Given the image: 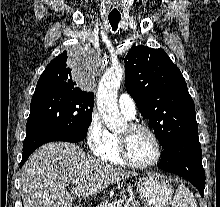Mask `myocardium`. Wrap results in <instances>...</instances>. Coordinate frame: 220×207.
<instances>
[{"label": "myocardium", "mask_w": 220, "mask_h": 207, "mask_svg": "<svg viewBox=\"0 0 220 207\" xmlns=\"http://www.w3.org/2000/svg\"><path fill=\"white\" fill-rule=\"evenodd\" d=\"M127 126L131 131L144 130L151 136L156 147V156L155 159L149 163H138L134 161L130 156L126 137L122 135H118L117 136L118 151L121 158L125 161L126 164L139 169H148L156 166L159 163L162 156V146L157 134L154 132L152 128L142 123L131 122Z\"/></svg>", "instance_id": "myocardium-1"}]
</instances>
